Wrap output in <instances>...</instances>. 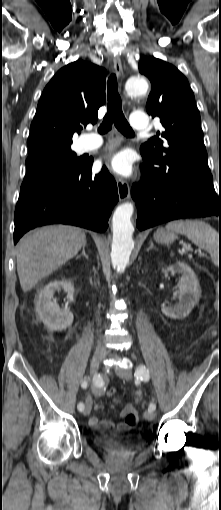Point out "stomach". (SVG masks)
I'll return each instance as SVG.
<instances>
[{
  "instance_id": "stomach-1",
  "label": "stomach",
  "mask_w": 221,
  "mask_h": 510,
  "mask_svg": "<svg viewBox=\"0 0 221 510\" xmlns=\"http://www.w3.org/2000/svg\"><path fill=\"white\" fill-rule=\"evenodd\" d=\"M177 238V235L172 230L159 228L155 234L154 239L158 243L169 244Z\"/></svg>"
}]
</instances>
